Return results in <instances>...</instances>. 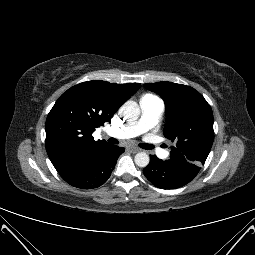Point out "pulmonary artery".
I'll return each mask as SVG.
<instances>
[{"instance_id": "obj_1", "label": "pulmonary artery", "mask_w": 255, "mask_h": 255, "mask_svg": "<svg viewBox=\"0 0 255 255\" xmlns=\"http://www.w3.org/2000/svg\"><path fill=\"white\" fill-rule=\"evenodd\" d=\"M141 117L135 122L127 123L119 128H111L107 133L115 138L128 139L136 137L155 126L164 111V103L158 97L148 95L140 100ZM156 152L163 155V150L156 149Z\"/></svg>"}]
</instances>
